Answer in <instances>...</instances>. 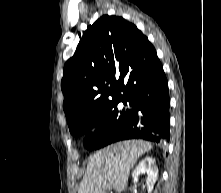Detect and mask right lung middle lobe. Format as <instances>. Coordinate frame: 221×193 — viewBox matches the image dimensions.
I'll return each mask as SVG.
<instances>
[{
  "instance_id": "right-lung-middle-lobe-1",
  "label": "right lung middle lobe",
  "mask_w": 221,
  "mask_h": 193,
  "mask_svg": "<svg viewBox=\"0 0 221 193\" xmlns=\"http://www.w3.org/2000/svg\"><path fill=\"white\" fill-rule=\"evenodd\" d=\"M120 102H123L124 105L128 102L131 108L119 107ZM131 114V98L119 99L101 110L77 119L69 129L72 135L78 136L99 126L96 132L89 134L84 140L88 149H98L107 145V140L125 127Z\"/></svg>"
}]
</instances>
